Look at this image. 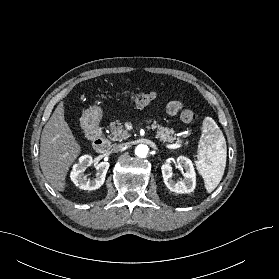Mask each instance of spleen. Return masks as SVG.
Instances as JSON below:
<instances>
[{
	"label": "spleen",
	"instance_id": "spleen-1",
	"mask_svg": "<svg viewBox=\"0 0 279 279\" xmlns=\"http://www.w3.org/2000/svg\"><path fill=\"white\" fill-rule=\"evenodd\" d=\"M202 129L196 167L204 179L206 191L211 193L223 177L227 148L222 131L211 117L203 120Z\"/></svg>",
	"mask_w": 279,
	"mask_h": 279
}]
</instances>
